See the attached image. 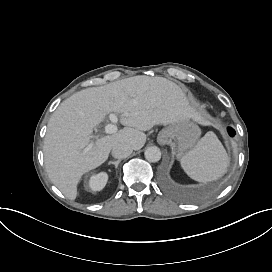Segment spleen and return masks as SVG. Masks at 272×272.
<instances>
[{"label": "spleen", "mask_w": 272, "mask_h": 272, "mask_svg": "<svg viewBox=\"0 0 272 272\" xmlns=\"http://www.w3.org/2000/svg\"><path fill=\"white\" fill-rule=\"evenodd\" d=\"M186 174L195 181H215L227 172L230 158L216 134L209 131L180 160Z\"/></svg>", "instance_id": "3e777b00"}]
</instances>
